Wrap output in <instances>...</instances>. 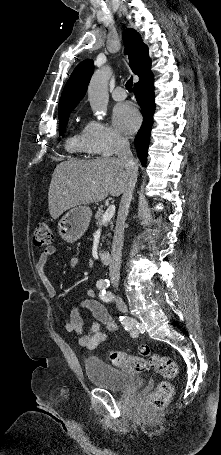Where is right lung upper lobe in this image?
<instances>
[{"instance_id":"obj_1","label":"right lung upper lobe","mask_w":221,"mask_h":455,"mask_svg":"<svg viewBox=\"0 0 221 455\" xmlns=\"http://www.w3.org/2000/svg\"><path fill=\"white\" fill-rule=\"evenodd\" d=\"M122 37L125 44V53L130 60V66L133 72L141 77L151 63L148 47L143 43L140 35L132 28L126 29ZM93 71L94 64L92 60L87 59L77 65L62 92L58 106L59 112L73 110L78 105L87 91Z\"/></svg>"}]
</instances>
